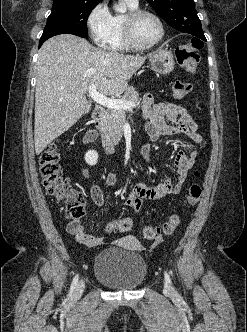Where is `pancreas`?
Instances as JSON below:
<instances>
[{
    "label": "pancreas",
    "mask_w": 247,
    "mask_h": 332,
    "mask_svg": "<svg viewBox=\"0 0 247 332\" xmlns=\"http://www.w3.org/2000/svg\"><path fill=\"white\" fill-rule=\"evenodd\" d=\"M122 99L139 105V94L134 87L127 88ZM126 116L124 109H109L99 122L100 128L109 142L117 145L121 140Z\"/></svg>",
    "instance_id": "1"
}]
</instances>
